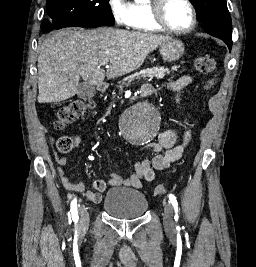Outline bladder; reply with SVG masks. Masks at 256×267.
I'll return each mask as SVG.
<instances>
[{"mask_svg": "<svg viewBox=\"0 0 256 267\" xmlns=\"http://www.w3.org/2000/svg\"><path fill=\"white\" fill-rule=\"evenodd\" d=\"M102 207L113 216L129 219L143 215L148 207V200L140 191L116 188L108 192Z\"/></svg>", "mask_w": 256, "mask_h": 267, "instance_id": "obj_1", "label": "bladder"}]
</instances>
